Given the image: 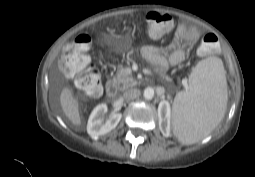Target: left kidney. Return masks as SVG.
<instances>
[{"label":"left kidney","instance_id":"obj_1","mask_svg":"<svg viewBox=\"0 0 255 177\" xmlns=\"http://www.w3.org/2000/svg\"><path fill=\"white\" fill-rule=\"evenodd\" d=\"M158 116L160 118V124L165 130L166 134L170 130V118H171V108L168 101H162L158 107Z\"/></svg>","mask_w":255,"mask_h":177}]
</instances>
